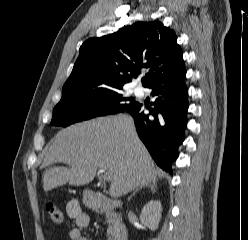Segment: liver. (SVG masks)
Returning a JSON list of instances; mask_svg holds the SVG:
<instances>
[{"label":"liver","instance_id":"obj_1","mask_svg":"<svg viewBox=\"0 0 248 240\" xmlns=\"http://www.w3.org/2000/svg\"><path fill=\"white\" fill-rule=\"evenodd\" d=\"M56 162L68 167H53L45 172V192L66 183L86 185L101 168L113 174L109 194L118 198L142 185L156 183L159 173L138 138L133 119L122 114L77 123L59 131L43 166Z\"/></svg>","mask_w":248,"mask_h":240}]
</instances>
